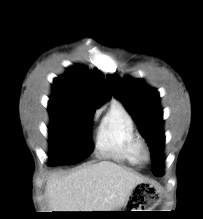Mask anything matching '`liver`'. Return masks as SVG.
<instances>
[{
    "label": "liver",
    "instance_id": "obj_1",
    "mask_svg": "<svg viewBox=\"0 0 203 219\" xmlns=\"http://www.w3.org/2000/svg\"><path fill=\"white\" fill-rule=\"evenodd\" d=\"M143 182L118 164L101 161L67 176L53 174L45 191L53 212L114 211L126 205L133 189Z\"/></svg>",
    "mask_w": 203,
    "mask_h": 219
}]
</instances>
